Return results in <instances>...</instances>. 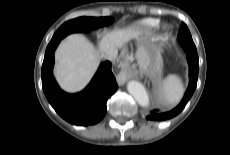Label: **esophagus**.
Instances as JSON below:
<instances>
[{"label":"esophagus","instance_id":"1","mask_svg":"<svg viewBox=\"0 0 230 155\" xmlns=\"http://www.w3.org/2000/svg\"><path fill=\"white\" fill-rule=\"evenodd\" d=\"M130 78V75L125 72V71H121L117 76H116V80L118 85L122 86L125 84V82Z\"/></svg>","mask_w":230,"mask_h":155}]
</instances>
